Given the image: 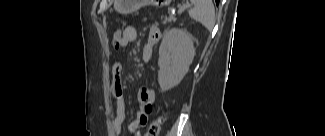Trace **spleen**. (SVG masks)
Returning a JSON list of instances; mask_svg holds the SVG:
<instances>
[{"mask_svg":"<svg viewBox=\"0 0 325 136\" xmlns=\"http://www.w3.org/2000/svg\"><path fill=\"white\" fill-rule=\"evenodd\" d=\"M189 16L211 31L215 25V9L211 0H194Z\"/></svg>","mask_w":325,"mask_h":136,"instance_id":"obj_1","label":"spleen"}]
</instances>
